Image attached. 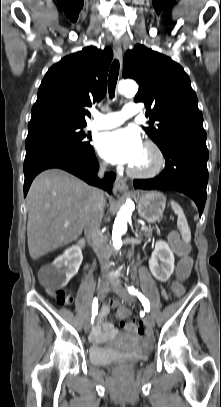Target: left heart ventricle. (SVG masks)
<instances>
[{"instance_id":"b2bd125f","label":"left heart ventricle","mask_w":221,"mask_h":407,"mask_svg":"<svg viewBox=\"0 0 221 407\" xmlns=\"http://www.w3.org/2000/svg\"><path fill=\"white\" fill-rule=\"evenodd\" d=\"M156 158L154 153L143 146L142 151L136 161L131 165L136 170L146 171L154 167Z\"/></svg>"}]
</instances>
